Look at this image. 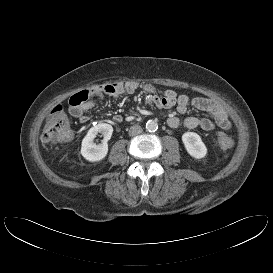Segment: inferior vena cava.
Returning a JSON list of instances; mask_svg holds the SVG:
<instances>
[{
    "label": "inferior vena cava",
    "instance_id": "obj_1",
    "mask_svg": "<svg viewBox=\"0 0 273 273\" xmlns=\"http://www.w3.org/2000/svg\"><path fill=\"white\" fill-rule=\"evenodd\" d=\"M143 132V129L139 125H133L129 129V135L130 136H137Z\"/></svg>",
    "mask_w": 273,
    "mask_h": 273
}]
</instances>
